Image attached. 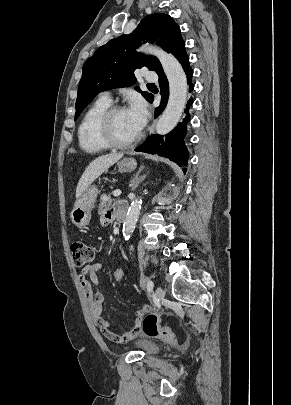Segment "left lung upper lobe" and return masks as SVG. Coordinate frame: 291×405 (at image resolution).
Listing matches in <instances>:
<instances>
[{"label":"left lung upper lobe","instance_id":"1","mask_svg":"<svg viewBox=\"0 0 291 405\" xmlns=\"http://www.w3.org/2000/svg\"><path fill=\"white\" fill-rule=\"evenodd\" d=\"M182 40L179 26L171 16L155 13L142 19L129 35H122L99 47L87 59L78 87L75 119L87 104L102 91L129 87L136 83L134 71L142 67L156 71L159 60L135 51L142 42L156 43L168 53ZM141 92V90L136 87ZM149 101L152 94L141 92Z\"/></svg>","mask_w":291,"mask_h":405}]
</instances>
